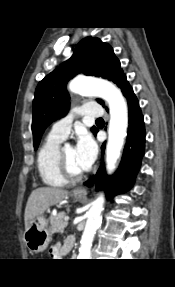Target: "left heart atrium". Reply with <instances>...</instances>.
Wrapping results in <instances>:
<instances>
[{
	"mask_svg": "<svg viewBox=\"0 0 175 287\" xmlns=\"http://www.w3.org/2000/svg\"><path fill=\"white\" fill-rule=\"evenodd\" d=\"M74 149L79 166L83 171L88 170L97 156V145L91 135L81 132Z\"/></svg>",
	"mask_w": 175,
	"mask_h": 287,
	"instance_id": "obj_1",
	"label": "left heart atrium"
}]
</instances>
